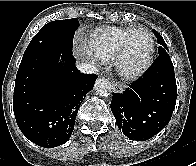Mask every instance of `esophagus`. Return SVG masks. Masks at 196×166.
<instances>
[{
	"mask_svg": "<svg viewBox=\"0 0 196 166\" xmlns=\"http://www.w3.org/2000/svg\"><path fill=\"white\" fill-rule=\"evenodd\" d=\"M113 90H114V92H116V93H122L123 90H124V88H123V86H122L121 84H119V83H113Z\"/></svg>",
	"mask_w": 196,
	"mask_h": 166,
	"instance_id": "esophagus-1",
	"label": "esophagus"
}]
</instances>
